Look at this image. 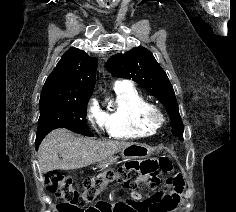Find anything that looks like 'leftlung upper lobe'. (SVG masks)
<instances>
[{
	"mask_svg": "<svg viewBox=\"0 0 236 212\" xmlns=\"http://www.w3.org/2000/svg\"><path fill=\"white\" fill-rule=\"evenodd\" d=\"M106 68L116 77L132 79L155 96L170 114L172 132L180 138L183 136L184 127L173 87L148 49L134 48L124 54L113 55L107 61Z\"/></svg>",
	"mask_w": 236,
	"mask_h": 212,
	"instance_id": "5c2ea615",
	"label": "left lung upper lobe"
}]
</instances>
